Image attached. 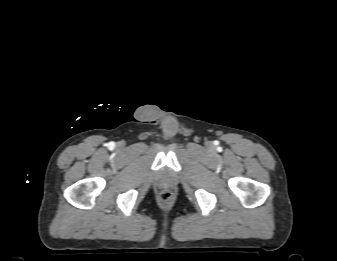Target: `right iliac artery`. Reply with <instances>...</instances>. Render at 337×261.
<instances>
[{
    "instance_id": "82829eb1",
    "label": "right iliac artery",
    "mask_w": 337,
    "mask_h": 261,
    "mask_svg": "<svg viewBox=\"0 0 337 261\" xmlns=\"http://www.w3.org/2000/svg\"><path fill=\"white\" fill-rule=\"evenodd\" d=\"M114 146H115L114 142H111L110 147H114Z\"/></svg>"
}]
</instances>
